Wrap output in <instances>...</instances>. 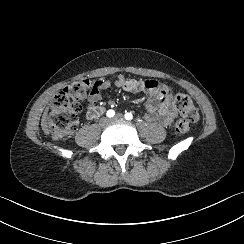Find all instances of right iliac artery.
Segmentation results:
<instances>
[{"mask_svg": "<svg viewBox=\"0 0 244 244\" xmlns=\"http://www.w3.org/2000/svg\"><path fill=\"white\" fill-rule=\"evenodd\" d=\"M106 115H107V117L111 118L115 115V111L114 110H108Z\"/></svg>", "mask_w": 244, "mask_h": 244, "instance_id": "obj_1", "label": "right iliac artery"}]
</instances>
